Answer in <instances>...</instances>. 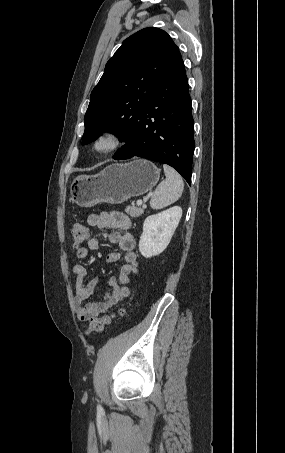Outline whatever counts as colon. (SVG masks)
<instances>
[{"label":"colon","mask_w":285,"mask_h":453,"mask_svg":"<svg viewBox=\"0 0 285 453\" xmlns=\"http://www.w3.org/2000/svg\"><path fill=\"white\" fill-rule=\"evenodd\" d=\"M72 233V246L75 250H80L83 243L88 237V228L82 223H75L71 230ZM125 308H119L116 312L103 315L102 317H95L89 319V324L86 327V334L92 335L101 332L104 327L111 323L113 319L123 316Z\"/></svg>","instance_id":"5ec220e1"}]
</instances>
